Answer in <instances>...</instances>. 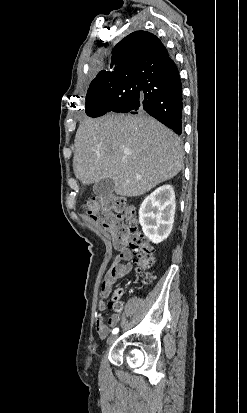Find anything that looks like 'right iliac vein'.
I'll return each mask as SVG.
<instances>
[{
  "mask_svg": "<svg viewBox=\"0 0 247 413\" xmlns=\"http://www.w3.org/2000/svg\"><path fill=\"white\" fill-rule=\"evenodd\" d=\"M116 337H117V336H111V337H109V339H108V344H109V345L112 344V343L116 340Z\"/></svg>",
  "mask_w": 247,
  "mask_h": 413,
  "instance_id": "1",
  "label": "right iliac vein"
}]
</instances>
